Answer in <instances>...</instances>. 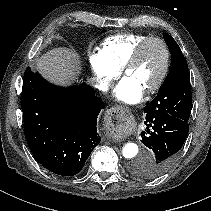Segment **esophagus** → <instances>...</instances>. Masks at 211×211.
I'll return each instance as SVG.
<instances>
[{"instance_id":"esophagus-1","label":"esophagus","mask_w":211,"mask_h":211,"mask_svg":"<svg viewBox=\"0 0 211 211\" xmlns=\"http://www.w3.org/2000/svg\"><path fill=\"white\" fill-rule=\"evenodd\" d=\"M125 108L122 106H116V107H112L111 109H109L110 112L113 113H120L124 110ZM107 137L113 140H118V138L116 136H111L110 134H107Z\"/></svg>"}]
</instances>
